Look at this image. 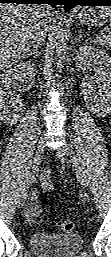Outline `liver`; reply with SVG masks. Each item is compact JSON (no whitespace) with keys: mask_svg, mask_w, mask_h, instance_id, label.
<instances>
[{"mask_svg":"<svg viewBox=\"0 0 111 257\" xmlns=\"http://www.w3.org/2000/svg\"><path fill=\"white\" fill-rule=\"evenodd\" d=\"M50 16L46 6L24 4L0 5V67L19 62L32 44L38 23L46 27Z\"/></svg>","mask_w":111,"mask_h":257,"instance_id":"1","label":"liver"}]
</instances>
